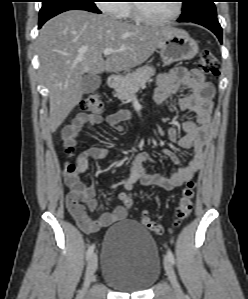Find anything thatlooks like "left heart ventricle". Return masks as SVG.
Segmentation results:
<instances>
[{
	"label": "left heart ventricle",
	"instance_id": "b2bd125f",
	"mask_svg": "<svg viewBox=\"0 0 248 299\" xmlns=\"http://www.w3.org/2000/svg\"><path fill=\"white\" fill-rule=\"evenodd\" d=\"M141 4L143 11L154 18H166L175 12V1H150Z\"/></svg>",
	"mask_w": 248,
	"mask_h": 299
}]
</instances>
